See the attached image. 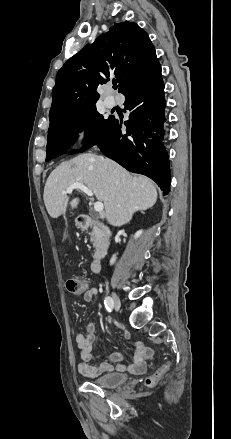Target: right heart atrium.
<instances>
[{"mask_svg":"<svg viewBox=\"0 0 231 439\" xmlns=\"http://www.w3.org/2000/svg\"><path fill=\"white\" fill-rule=\"evenodd\" d=\"M89 134V126L86 124L80 125L78 126L74 133H73V137L76 140H81L84 139L85 137H87Z\"/></svg>","mask_w":231,"mask_h":439,"instance_id":"right-heart-atrium-1","label":"right heart atrium"}]
</instances>
